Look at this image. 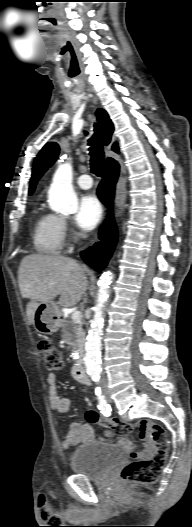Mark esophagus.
I'll list each match as a JSON object with an SVG mask.
<instances>
[{
  "instance_id": "esophagus-1",
  "label": "esophagus",
  "mask_w": 192,
  "mask_h": 527,
  "mask_svg": "<svg viewBox=\"0 0 192 527\" xmlns=\"http://www.w3.org/2000/svg\"><path fill=\"white\" fill-rule=\"evenodd\" d=\"M92 100H93V102H94L95 104H97V98H96V97H93Z\"/></svg>"
}]
</instances>
